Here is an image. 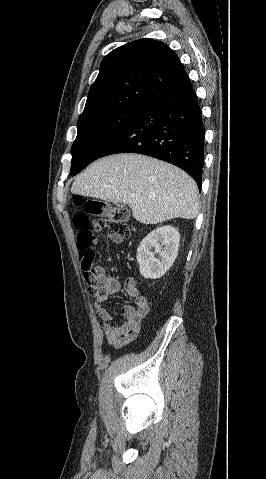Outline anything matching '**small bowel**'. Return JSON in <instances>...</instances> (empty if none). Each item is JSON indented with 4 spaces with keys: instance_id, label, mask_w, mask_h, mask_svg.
<instances>
[{
    "instance_id": "obj_1",
    "label": "small bowel",
    "mask_w": 266,
    "mask_h": 479,
    "mask_svg": "<svg viewBox=\"0 0 266 479\" xmlns=\"http://www.w3.org/2000/svg\"><path fill=\"white\" fill-rule=\"evenodd\" d=\"M106 239L119 243L122 238L113 234H106L102 237H94L91 240V246ZM93 274L97 281L98 294L95 296V308L101 319V328L106 341L113 347H121L130 343L139 333L141 322L149 312V304L136 284L134 278H128L125 283L126 293L134 300L135 305L125 304L122 307V314L125 321L120 324L113 323V315L107 305L110 296L118 295L121 292L120 282L108 275L103 266L97 265Z\"/></svg>"
}]
</instances>
